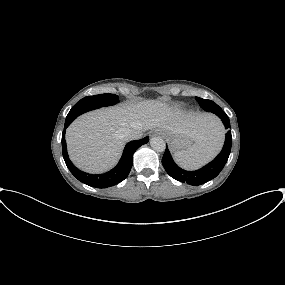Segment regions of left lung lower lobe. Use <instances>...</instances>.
I'll return each mask as SVG.
<instances>
[{
	"label": "left lung lower lobe",
	"instance_id": "1",
	"mask_svg": "<svg viewBox=\"0 0 285 285\" xmlns=\"http://www.w3.org/2000/svg\"><path fill=\"white\" fill-rule=\"evenodd\" d=\"M223 122L226 129L230 127V121L226 113L222 109L213 112ZM232 136L231 131H228L225 138V143L220 154L209 164L196 171H186L178 167L173 161L171 154L166 148L162 158V164L166 172L175 180L188 183L189 185L198 186L215 178L225 166L231 151Z\"/></svg>",
	"mask_w": 285,
	"mask_h": 285
}]
</instances>
